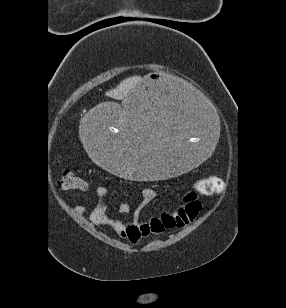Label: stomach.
<instances>
[{"label": "stomach", "instance_id": "stomach-1", "mask_svg": "<svg viewBox=\"0 0 286 308\" xmlns=\"http://www.w3.org/2000/svg\"><path fill=\"white\" fill-rule=\"evenodd\" d=\"M182 86L149 74L129 93L124 110L101 97L96 109L83 113L86 156L127 182H166L201 168L212 158L221 125H215L212 100H199Z\"/></svg>", "mask_w": 286, "mask_h": 308}]
</instances>
